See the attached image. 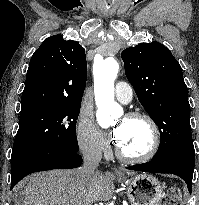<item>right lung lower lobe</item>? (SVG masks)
I'll list each match as a JSON object with an SVG mask.
<instances>
[{
    "label": "right lung lower lobe",
    "instance_id": "obj_1",
    "mask_svg": "<svg viewBox=\"0 0 199 205\" xmlns=\"http://www.w3.org/2000/svg\"><path fill=\"white\" fill-rule=\"evenodd\" d=\"M82 157L64 147H46L11 161V189L25 176L33 172L76 168Z\"/></svg>",
    "mask_w": 199,
    "mask_h": 205
}]
</instances>
